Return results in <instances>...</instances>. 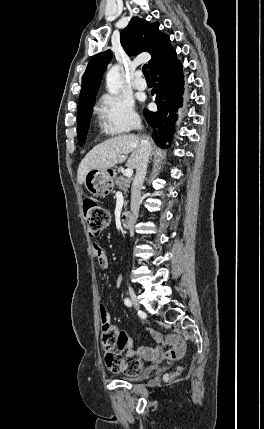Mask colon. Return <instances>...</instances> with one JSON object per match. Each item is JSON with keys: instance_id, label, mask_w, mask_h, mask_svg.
Listing matches in <instances>:
<instances>
[{"instance_id": "obj_1", "label": "colon", "mask_w": 264, "mask_h": 429, "mask_svg": "<svg viewBox=\"0 0 264 429\" xmlns=\"http://www.w3.org/2000/svg\"><path fill=\"white\" fill-rule=\"evenodd\" d=\"M83 211L90 235L97 236L110 221L109 211L93 199L83 201ZM102 323V346L105 351V362L115 372L136 375L141 370L139 358L130 353L129 340L125 332L109 322L106 310L100 306ZM174 374L167 376L172 378Z\"/></svg>"}]
</instances>
